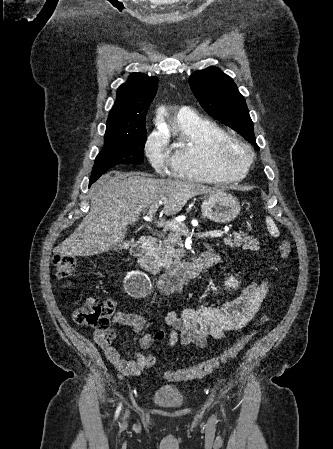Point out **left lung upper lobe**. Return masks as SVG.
Wrapping results in <instances>:
<instances>
[{
  "label": "left lung upper lobe",
  "mask_w": 333,
  "mask_h": 449,
  "mask_svg": "<svg viewBox=\"0 0 333 449\" xmlns=\"http://www.w3.org/2000/svg\"><path fill=\"white\" fill-rule=\"evenodd\" d=\"M189 84L210 116L239 132L259 150L246 101L232 78L211 66L191 74Z\"/></svg>",
  "instance_id": "obj_1"
}]
</instances>
